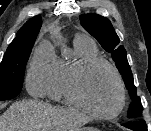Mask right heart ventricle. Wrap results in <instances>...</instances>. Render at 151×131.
<instances>
[{
	"mask_svg": "<svg viewBox=\"0 0 151 131\" xmlns=\"http://www.w3.org/2000/svg\"><path fill=\"white\" fill-rule=\"evenodd\" d=\"M74 57L55 60L47 96L56 101L71 103L67 97L66 84L73 71L84 61L98 57L99 52L93 41L77 37L74 40Z\"/></svg>",
	"mask_w": 151,
	"mask_h": 131,
	"instance_id": "1",
	"label": "right heart ventricle"
}]
</instances>
